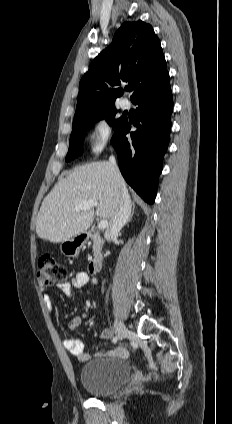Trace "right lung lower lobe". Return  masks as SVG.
Wrapping results in <instances>:
<instances>
[{
  "label": "right lung lower lobe",
  "instance_id": "obj_1",
  "mask_svg": "<svg viewBox=\"0 0 232 424\" xmlns=\"http://www.w3.org/2000/svg\"><path fill=\"white\" fill-rule=\"evenodd\" d=\"M135 132L126 134L131 125L126 120L115 132L111 144L118 156L120 171L127 183L149 204L156 197L157 180L162 171V159L169 143L173 111L169 73L158 83L138 96Z\"/></svg>",
  "mask_w": 232,
  "mask_h": 424
}]
</instances>
